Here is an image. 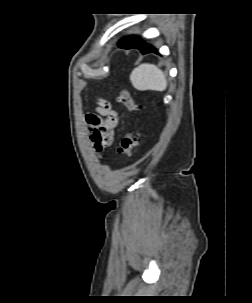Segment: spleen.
<instances>
[{"instance_id":"obj_1","label":"spleen","mask_w":252,"mask_h":303,"mask_svg":"<svg viewBox=\"0 0 252 303\" xmlns=\"http://www.w3.org/2000/svg\"><path fill=\"white\" fill-rule=\"evenodd\" d=\"M130 81L139 91H164L167 88L166 76L161 69L150 63H143L134 68Z\"/></svg>"}]
</instances>
